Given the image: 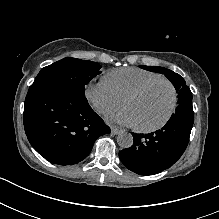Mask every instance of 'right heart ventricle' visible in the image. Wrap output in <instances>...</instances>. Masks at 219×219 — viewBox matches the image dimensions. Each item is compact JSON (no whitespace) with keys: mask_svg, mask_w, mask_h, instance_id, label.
<instances>
[{"mask_svg":"<svg viewBox=\"0 0 219 219\" xmlns=\"http://www.w3.org/2000/svg\"><path fill=\"white\" fill-rule=\"evenodd\" d=\"M161 78V75L143 69L128 67L109 72L104 80L107 82L113 94L123 101L125 97L142 84L153 79Z\"/></svg>","mask_w":219,"mask_h":219,"instance_id":"right-heart-ventricle-1","label":"right heart ventricle"}]
</instances>
